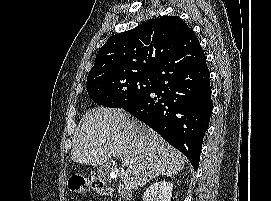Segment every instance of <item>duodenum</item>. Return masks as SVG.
<instances>
[{
    "label": "duodenum",
    "mask_w": 271,
    "mask_h": 201,
    "mask_svg": "<svg viewBox=\"0 0 271 201\" xmlns=\"http://www.w3.org/2000/svg\"><path fill=\"white\" fill-rule=\"evenodd\" d=\"M118 201H132V192L127 186H118Z\"/></svg>",
    "instance_id": "1"
}]
</instances>
